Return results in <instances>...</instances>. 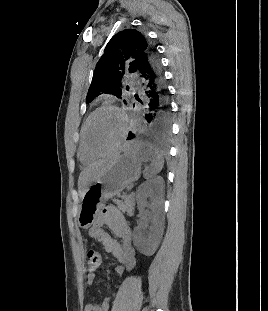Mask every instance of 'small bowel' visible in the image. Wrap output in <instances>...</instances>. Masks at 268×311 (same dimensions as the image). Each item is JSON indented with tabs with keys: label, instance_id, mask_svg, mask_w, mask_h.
<instances>
[{
	"label": "small bowel",
	"instance_id": "c3829d8e",
	"mask_svg": "<svg viewBox=\"0 0 268 311\" xmlns=\"http://www.w3.org/2000/svg\"><path fill=\"white\" fill-rule=\"evenodd\" d=\"M88 235L91 239L102 244L105 252L112 255L117 261L118 265L114 269L117 275H122L134 268L136 258L131 240V230L127 220L116 207H104L90 228ZM94 282L95 274L90 271L86 276V284L92 288ZM109 307L110 299L105 297L100 304L87 303L84 311H108Z\"/></svg>",
	"mask_w": 268,
	"mask_h": 311
}]
</instances>
